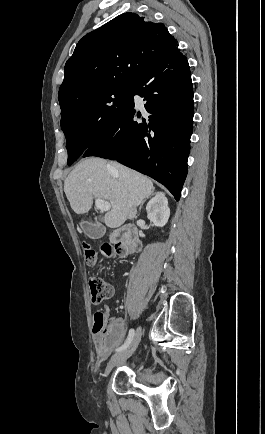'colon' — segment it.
Here are the masks:
<instances>
[{"label": "colon", "mask_w": 265, "mask_h": 434, "mask_svg": "<svg viewBox=\"0 0 265 434\" xmlns=\"http://www.w3.org/2000/svg\"><path fill=\"white\" fill-rule=\"evenodd\" d=\"M82 248L85 253L86 264L94 266L98 262V252L92 248L89 244L83 243ZM100 253L104 258H109L112 250L109 246H104ZM90 300L93 305L101 304L102 302L112 298L114 293V287L111 283L107 282L96 276H91L88 280ZM92 320V335H103L106 330V317L105 314H101L100 310H95L91 317Z\"/></svg>", "instance_id": "obj_1"}]
</instances>
